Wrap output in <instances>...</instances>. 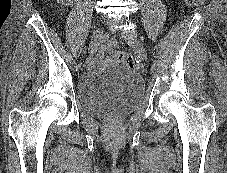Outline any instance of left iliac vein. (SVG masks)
Segmentation results:
<instances>
[{
	"label": "left iliac vein",
	"instance_id": "4c4485c4",
	"mask_svg": "<svg viewBox=\"0 0 227 173\" xmlns=\"http://www.w3.org/2000/svg\"><path fill=\"white\" fill-rule=\"evenodd\" d=\"M125 40L128 42V44L136 51V53L139 55V57L143 60H147V51L142 44L141 40L138 38L136 34L131 35H123Z\"/></svg>",
	"mask_w": 227,
	"mask_h": 173
}]
</instances>
